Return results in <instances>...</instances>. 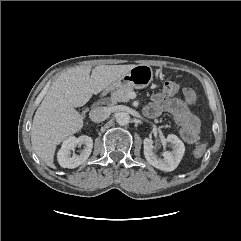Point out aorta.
I'll use <instances>...</instances> for the list:
<instances>
[{
  "label": "aorta",
  "instance_id": "1",
  "mask_svg": "<svg viewBox=\"0 0 241 241\" xmlns=\"http://www.w3.org/2000/svg\"><path fill=\"white\" fill-rule=\"evenodd\" d=\"M116 122L122 126L127 125L130 122V115L127 112L117 113Z\"/></svg>",
  "mask_w": 241,
  "mask_h": 241
}]
</instances>
